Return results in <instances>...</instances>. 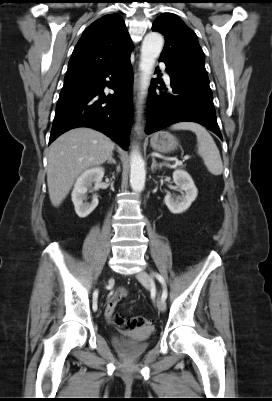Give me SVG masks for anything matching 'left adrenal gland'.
<instances>
[{
	"instance_id": "a2214340",
	"label": "left adrenal gland",
	"mask_w": 272,
	"mask_h": 401,
	"mask_svg": "<svg viewBox=\"0 0 272 401\" xmlns=\"http://www.w3.org/2000/svg\"><path fill=\"white\" fill-rule=\"evenodd\" d=\"M161 168H162V165H161V164H158V163L156 162L155 157H152L151 171L154 172L156 169H161Z\"/></svg>"
}]
</instances>
